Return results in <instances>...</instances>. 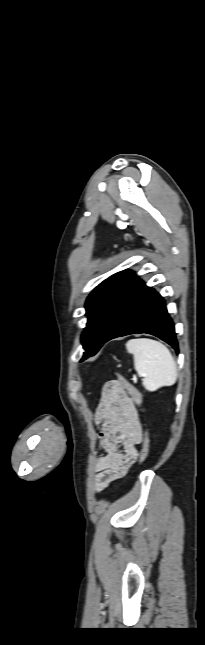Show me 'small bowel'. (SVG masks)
Here are the masks:
<instances>
[{
	"label": "small bowel",
	"instance_id": "small-bowel-1",
	"mask_svg": "<svg viewBox=\"0 0 205 645\" xmlns=\"http://www.w3.org/2000/svg\"><path fill=\"white\" fill-rule=\"evenodd\" d=\"M96 423L101 426L98 443L106 452L94 462L95 490L100 492L123 478L137 459L142 427L131 398L124 391L110 389L108 383L102 389Z\"/></svg>",
	"mask_w": 205,
	"mask_h": 645
}]
</instances>
